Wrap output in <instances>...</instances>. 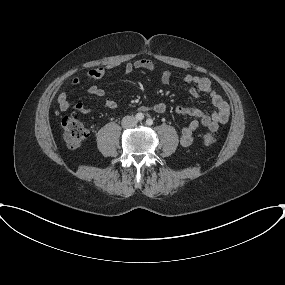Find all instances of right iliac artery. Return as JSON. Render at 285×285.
I'll list each match as a JSON object with an SVG mask.
<instances>
[{
    "instance_id": "82829eb1",
    "label": "right iliac artery",
    "mask_w": 285,
    "mask_h": 285,
    "mask_svg": "<svg viewBox=\"0 0 285 285\" xmlns=\"http://www.w3.org/2000/svg\"><path fill=\"white\" fill-rule=\"evenodd\" d=\"M135 117H136L137 120H140V121L144 119V115L142 113H137L135 115Z\"/></svg>"
}]
</instances>
